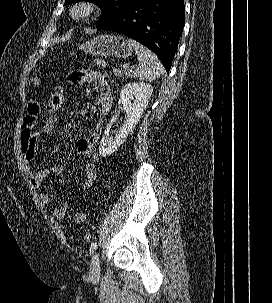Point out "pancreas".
<instances>
[{
    "label": "pancreas",
    "mask_w": 272,
    "mask_h": 303,
    "mask_svg": "<svg viewBox=\"0 0 272 303\" xmlns=\"http://www.w3.org/2000/svg\"><path fill=\"white\" fill-rule=\"evenodd\" d=\"M113 73L118 76L121 75V71L118 69H114ZM123 75H125L126 77H132V73L130 71H123Z\"/></svg>",
    "instance_id": "1"
}]
</instances>
